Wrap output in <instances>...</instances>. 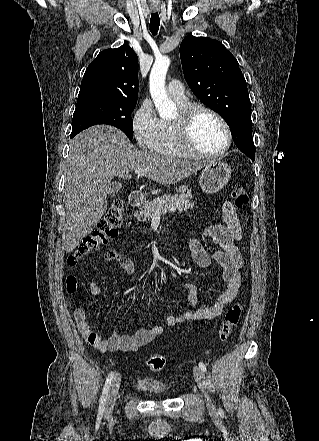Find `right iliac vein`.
<instances>
[{
  "label": "right iliac vein",
  "instance_id": "63e3f726",
  "mask_svg": "<svg viewBox=\"0 0 319 441\" xmlns=\"http://www.w3.org/2000/svg\"><path fill=\"white\" fill-rule=\"evenodd\" d=\"M120 383H121V377L117 376L112 384L110 391H109V395H108V399H107V403H106V414L107 415L111 414L113 411V408L116 403V398H117V395L119 392Z\"/></svg>",
  "mask_w": 319,
  "mask_h": 441
}]
</instances>
